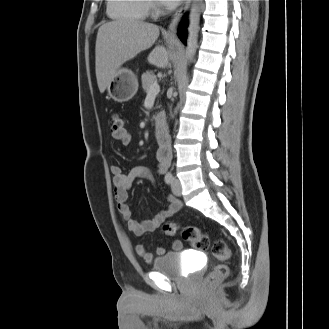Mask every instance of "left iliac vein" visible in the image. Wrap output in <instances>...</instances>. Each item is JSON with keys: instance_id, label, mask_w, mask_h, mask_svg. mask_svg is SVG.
<instances>
[{"instance_id": "obj_1", "label": "left iliac vein", "mask_w": 329, "mask_h": 329, "mask_svg": "<svg viewBox=\"0 0 329 329\" xmlns=\"http://www.w3.org/2000/svg\"><path fill=\"white\" fill-rule=\"evenodd\" d=\"M181 191H182L181 190V184H180L179 180L175 178L173 180V183H172V192H173L174 195L180 196Z\"/></svg>"}]
</instances>
